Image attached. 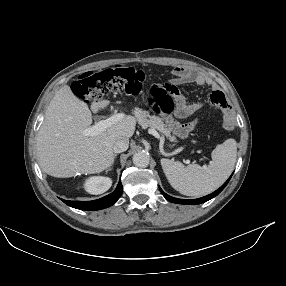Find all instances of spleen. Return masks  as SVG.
<instances>
[{
  "mask_svg": "<svg viewBox=\"0 0 286 286\" xmlns=\"http://www.w3.org/2000/svg\"><path fill=\"white\" fill-rule=\"evenodd\" d=\"M236 141L227 139L212 151L207 167L184 166L181 162L161 159L162 169L170 185L186 196H204L219 188L231 174L236 161Z\"/></svg>",
  "mask_w": 286,
  "mask_h": 286,
  "instance_id": "3e777b00",
  "label": "spleen"
}]
</instances>
